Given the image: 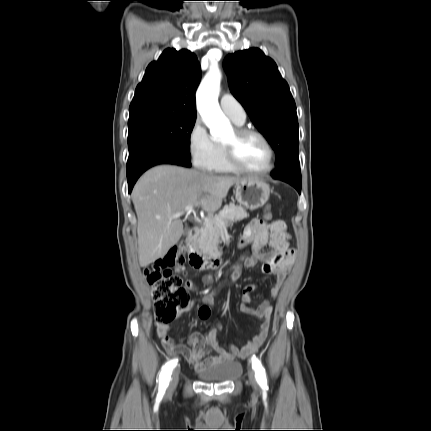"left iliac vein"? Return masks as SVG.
Listing matches in <instances>:
<instances>
[{
	"mask_svg": "<svg viewBox=\"0 0 431 431\" xmlns=\"http://www.w3.org/2000/svg\"><path fill=\"white\" fill-rule=\"evenodd\" d=\"M248 377H249V381H250L252 387L254 389H257V383H256V379H255V374H254V372L252 370L248 371Z\"/></svg>",
	"mask_w": 431,
	"mask_h": 431,
	"instance_id": "1",
	"label": "left iliac vein"
}]
</instances>
